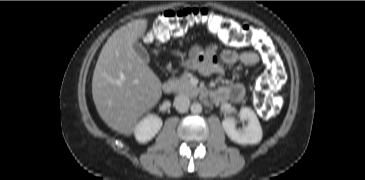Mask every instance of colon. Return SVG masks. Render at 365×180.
<instances>
[{
	"instance_id": "obj_1",
	"label": "colon",
	"mask_w": 365,
	"mask_h": 180,
	"mask_svg": "<svg viewBox=\"0 0 365 180\" xmlns=\"http://www.w3.org/2000/svg\"><path fill=\"white\" fill-rule=\"evenodd\" d=\"M205 25L208 31L223 43L235 48L255 45L256 32L251 27L233 26L220 14L203 8H180L162 11L154 24L144 35L145 42L159 45L172 38L182 37L195 26ZM259 53L267 61L269 69L261 78L256 97L260 105L267 107V114L272 116L279 105L270 101V96L282 85L283 70L270 47L262 45Z\"/></svg>"
}]
</instances>
